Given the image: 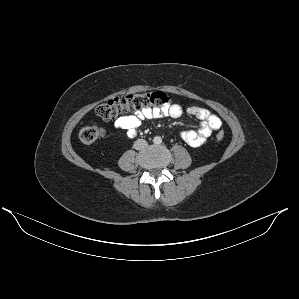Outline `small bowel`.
<instances>
[{
    "label": "small bowel",
    "mask_w": 299,
    "mask_h": 299,
    "mask_svg": "<svg viewBox=\"0 0 299 299\" xmlns=\"http://www.w3.org/2000/svg\"><path fill=\"white\" fill-rule=\"evenodd\" d=\"M183 113L195 117L200 122L199 128L180 132L181 139L192 147L203 145L212 132L217 131L222 124L218 116L205 108L197 106L184 108L179 104H172L162 108L143 109L132 115L118 117L114 121V126L127 137L132 138L136 136L138 128L144 120L158 119L165 116L179 118Z\"/></svg>",
    "instance_id": "1"
}]
</instances>
